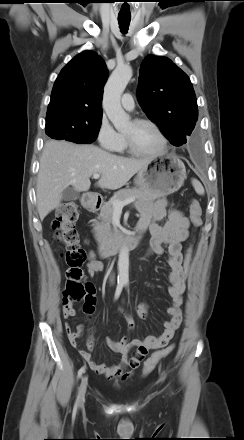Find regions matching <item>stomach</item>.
<instances>
[{"instance_id":"stomach-1","label":"stomach","mask_w":244,"mask_h":440,"mask_svg":"<svg viewBox=\"0 0 244 440\" xmlns=\"http://www.w3.org/2000/svg\"><path fill=\"white\" fill-rule=\"evenodd\" d=\"M185 179L184 163L176 156L166 155L151 160L138 172L134 183L148 194L167 196L178 191Z\"/></svg>"}]
</instances>
